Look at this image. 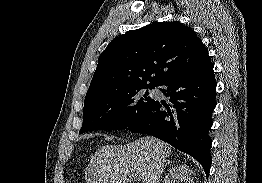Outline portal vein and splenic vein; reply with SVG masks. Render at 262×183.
<instances>
[{"label":"portal vein and splenic vein","mask_w":262,"mask_h":183,"mask_svg":"<svg viewBox=\"0 0 262 183\" xmlns=\"http://www.w3.org/2000/svg\"><path fill=\"white\" fill-rule=\"evenodd\" d=\"M130 178H133L134 180H140V177L137 174H130Z\"/></svg>","instance_id":"obj_1"}]
</instances>
